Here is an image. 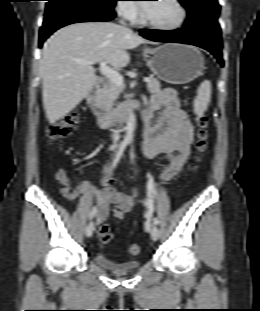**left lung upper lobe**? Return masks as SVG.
Returning <instances> with one entry per match:
<instances>
[{
  "label": "left lung upper lobe",
  "mask_w": 260,
  "mask_h": 311,
  "mask_svg": "<svg viewBox=\"0 0 260 311\" xmlns=\"http://www.w3.org/2000/svg\"><path fill=\"white\" fill-rule=\"evenodd\" d=\"M187 9L186 26H204L220 31L218 15L220 5L217 0H179Z\"/></svg>",
  "instance_id": "obj_1"
}]
</instances>
